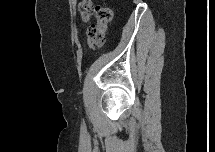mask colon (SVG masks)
I'll list each match as a JSON object with an SVG mask.
<instances>
[{"mask_svg": "<svg viewBox=\"0 0 215 152\" xmlns=\"http://www.w3.org/2000/svg\"><path fill=\"white\" fill-rule=\"evenodd\" d=\"M79 13L84 22H88L94 14L96 23L89 26L87 30L88 45L91 48L101 47L105 42V30L112 19L111 9L103 2L93 3L83 0L79 3Z\"/></svg>", "mask_w": 215, "mask_h": 152, "instance_id": "obj_1", "label": "colon"}]
</instances>
